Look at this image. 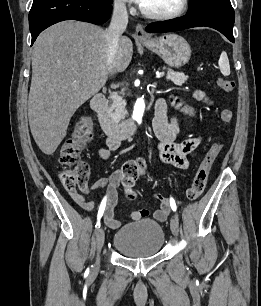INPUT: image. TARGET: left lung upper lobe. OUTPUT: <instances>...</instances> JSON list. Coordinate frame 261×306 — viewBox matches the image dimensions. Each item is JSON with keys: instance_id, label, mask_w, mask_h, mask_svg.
<instances>
[{"instance_id": "5c2ea615", "label": "left lung upper lobe", "mask_w": 261, "mask_h": 306, "mask_svg": "<svg viewBox=\"0 0 261 306\" xmlns=\"http://www.w3.org/2000/svg\"><path fill=\"white\" fill-rule=\"evenodd\" d=\"M189 2L188 13H199L231 6L230 0H189Z\"/></svg>"}]
</instances>
